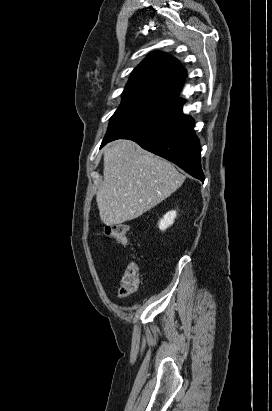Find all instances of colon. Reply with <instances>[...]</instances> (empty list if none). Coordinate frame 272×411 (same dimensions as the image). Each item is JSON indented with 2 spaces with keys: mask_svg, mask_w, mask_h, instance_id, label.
Returning a JSON list of instances; mask_svg holds the SVG:
<instances>
[{
  "mask_svg": "<svg viewBox=\"0 0 272 411\" xmlns=\"http://www.w3.org/2000/svg\"><path fill=\"white\" fill-rule=\"evenodd\" d=\"M105 236L116 242L126 244L129 241L128 228L124 224L107 225L104 228ZM140 283V268L136 263H129L121 277L119 294L121 297H128L134 294Z\"/></svg>",
  "mask_w": 272,
  "mask_h": 411,
  "instance_id": "colon-1",
  "label": "colon"
}]
</instances>
